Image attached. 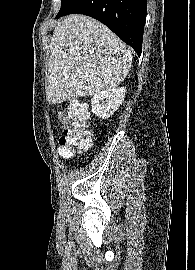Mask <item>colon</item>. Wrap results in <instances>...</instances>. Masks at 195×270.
<instances>
[{
	"instance_id": "colon-1",
	"label": "colon",
	"mask_w": 195,
	"mask_h": 270,
	"mask_svg": "<svg viewBox=\"0 0 195 270\" xmlns=\"http://www.w3.org/2000/svg\"><path fill=\"white\" fill-rule=\"evenodd\" d=\"M58 117L63 131L59 153L64 158H70L77 150L91 143L89 112L84 104L72 101Z\"/></svg>"
}]
</instances>
